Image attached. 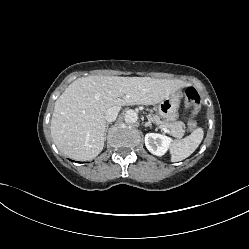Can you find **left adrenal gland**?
<instances>
[{
    "label": "left adrenal gland",
    "mask_w": 249,
    "mask_h": 249,
    "mask_svg": "<svg viewBox=\"0 0 249 249\" xmlns=\"http://www.w3.org/2000/svg\"><path fill=\"white\" fill-rule=\"evenodd\" d=\"M145 127H152L151 121L148 119V122L145 123Z\"/></svg>",
    "instance_id": "a2214340"
}]
</instances>
